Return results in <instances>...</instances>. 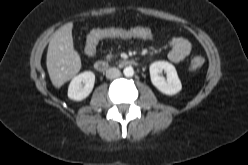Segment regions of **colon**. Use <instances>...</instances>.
<instances>
[{
    "label": "colon",
    "mask_w": 248,
    "mask_h": 165,
    "mask_svg": "<svg viewBox=\"0 0 248 165\" xmlns=\"http://www.w3.org/2000/svg\"><path fill=\"white\" fill-rule=\"evenodd\" d=\"M137 33L140 35L149 34L148 31H138ZM126 35H127L126 30L121 28H101V29L93 30L89 34V40L86 42L85 53L87 56L91 57L95 54L96 47L102 39L110 38V37H124ZM203 64H204V60L201 57H194L190 61L189 68L192 71H197L202 68Z\"/></svg>",
    "instance_id": "1"
}]
</instances>
